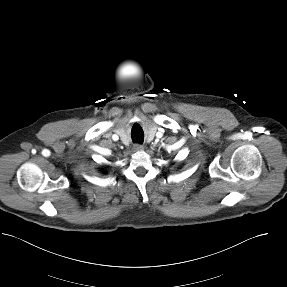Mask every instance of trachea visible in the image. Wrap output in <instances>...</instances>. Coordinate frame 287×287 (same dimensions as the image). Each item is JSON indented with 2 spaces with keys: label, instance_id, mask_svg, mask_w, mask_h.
Here are the masks:
<instances>
[{
  "label": "trachea",
  "instance_id": "3493384b",
  "mask_svg": "<svg viewBox=\"0 0 287 287\" xmlns=\"http://www.w3.org/2000/svg\"><path fill=\"white\" fill-rule=\"evenodd\" d=\"M132 139H133V141L135 142V143H142L143 142V136L142 135H140V136H134V137H132Z\"/></svg>",
  "mask_w": 287,
  "mask_h": 287
}]
</instances>
